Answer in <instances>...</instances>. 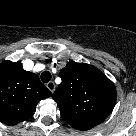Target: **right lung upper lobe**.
<instances>
[{"label": "right lung upper lobe", "mask_w": 136, "mask_h": 136, "mask_svg": "<svg viewBox=\"0 0 136 136\" xmlns=\"http://www.w3.org/2000/svg\"><path fill=\"white\" fill-rule=\"evenodd\" d=\"M52 93L38 76L25 71L20 62L0 64V121L16 125L30 118L36 105Z\"/></svg>", "instance_id": "right-lung-upper-lobe-1"}]
</instances>
